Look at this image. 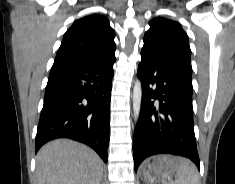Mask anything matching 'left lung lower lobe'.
<instances>
[{
    "label": "left lung lower lobe",
    "instance_id": "1",
    "mask_svg": "<svg viewBox=\"0 0 235 184\" xmlns=\"http://www.w3.org/2000/svg\"><path fill=\"white\" fill-rule=\"evenodd\" d=\"M137 76L142 83V103L133 137L135 171L145 158L156 154L187 157L199 169L192 80L178 65L148 46L141 50Z\"/></svg>",
    "mask_w": 235,
    "mask_h": 184
}]
</instances>
